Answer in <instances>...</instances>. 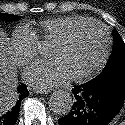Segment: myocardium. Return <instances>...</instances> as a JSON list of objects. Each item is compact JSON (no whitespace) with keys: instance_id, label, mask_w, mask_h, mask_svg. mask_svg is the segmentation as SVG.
<instances>
[{"instance_id":"obj_1","label":"myocardium","mask_w":125,"mask_h":125,"mask_svg":"<svg viewBox=\"0 0 125 125\" xmlns=\"http://www.w3.org/2000/svg\"><path fill=\"white\" fill-rule=\"evenodd\" d=\"M86 25H96L102 30V32L105 36L104 48H103V52H102L100 60L90 71H88L84 74H81V75L71 77V79L75 82L87 81L102 71V69L106 65L109 55H110V48H111V42H112L110 30L102 22H100L96 19L90 18V19L84 20L82 22H79V23H76V24L70 26L65 32H63L60 36H58L52 42V44L61 45L65 42H67L71 38V36L75 33L76 30H78L79 28L86 26Z\"/></svg>"}]
</instances>
